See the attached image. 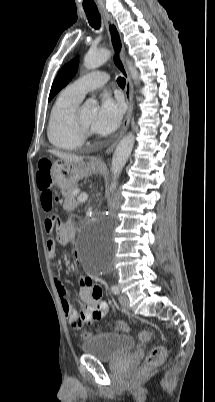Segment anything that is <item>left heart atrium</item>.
<instances>
[{
	"instance_id": "1",
	"label": "left heart atrium",
	"mask_w": 215,
	"mask_h": 402,
	"mask_svg": "<svg viewBox=\"0 0 215 402\" xmlns=\"http://www.w3.org/2000/svg\"><path fill=\"white\" fill-rule=\"evenodd\" d=\"M123 105L109 95L102 97L101 103L96 109L92 122V130L99 134H109L115 131L122 118Z\"/></svg>"
}]
</instances>
